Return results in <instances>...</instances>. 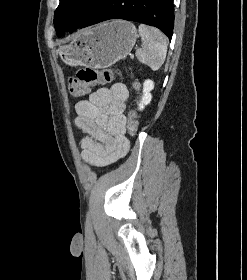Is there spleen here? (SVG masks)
<instances>
[{
	"label": "spleen",
	"mask_w": 247,
	"mask_h": 280,
	"mask_svg": "<svg viewBox=\"0 0 247 280\" xmlns=\"http://www.w3.org/2000/svg\"><path fill=\"white\" fill-rule=\"evenodd\" d=\"M138 32L142 40V48L137 50L136 57L141 63L156 71L165 61L167 38L159 29L145 24L139 25Z\"/></svg>",
	"instance_id": "obj_1"
}]
</instances>
